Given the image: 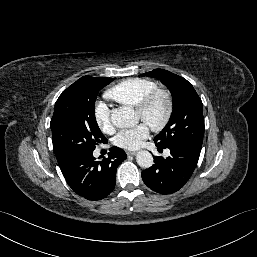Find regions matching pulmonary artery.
Returning <instances> with one entry per match:
<instances>
[{"instance_id": "obj_1", "label": "pulmonary artery", "mask_w": 257, "mask_h": 257, "mask_svg": "<svg viewBox=\"0 0 257 257\" xmlns=\"http://www.w3.org/2000/svg\"><path fill=\"white\" fill-rule=\"evenodd\" d=\"M166 154L168 155V154H169V151H167Z\"/></svg>"}]
</instances>
